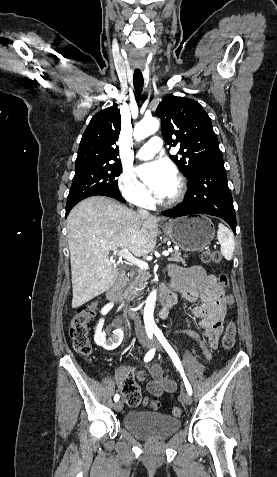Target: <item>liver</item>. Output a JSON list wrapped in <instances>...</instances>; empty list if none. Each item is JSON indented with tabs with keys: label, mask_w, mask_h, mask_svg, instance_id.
<instances>
[{
	"label": "liver",
	"mask_w": 277,
	"mask_h": 477,
	"mask_svg": "<svg viewBox=\"0 0 277 477\" xmlns=\"http://www.w3.org/2000/svg\"><path fill=\"white\" fill-rule=\"evenodd\" d=\"M143 217L104 196L89 197L77 204L67 217V238L72 273V307L77 308L109 290L118 276L110 251L127 248L145 256L155 247L158 222Z\"/></svg>",
	"instance_id": "1"
}]
</instances>
